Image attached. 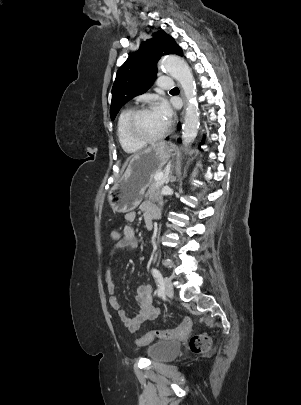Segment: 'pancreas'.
<instances>
[{
  "mask_svg": "<svg viewBox=\"0 0 301 405\" xmlns=\"http://www.w3.org/2000/svg\"><path fill=\"white\" fill-rule=\"evenodd\" d=\"M159 171L156 173L158 174ZM155 174V175H156ZM154 175V178H155ZM162 188V184L158 183V181H153V183L151 184V186L149 187L147 193H146V197L149 198V200L153 201V202H157L159 205L163 204V197L160 193Z\"/></svg>",
  "mask_w": 301,
  "mask_h": 405,
  "instance_id": "1",
  "label": "pancreas"
}]
</instances>
